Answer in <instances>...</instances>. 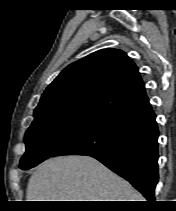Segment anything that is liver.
Listing matches in <instances>:
<instances>
[{
	"instance_id": "liver-1",
	"label": "liver",
	"mask_w": 176,
	"mask_h": 211,
	"mask_svg": "<svg viewBox=\"0 0 176 211\" xmlns=\"http://www.w3.org/2000/svg\"><path fill=\"white\" fill-rule=\"evenodd\" d=\"M27 201H143L126 180L88 156L50 158L31 175Z\"/></svg>"
}]
</instances>
